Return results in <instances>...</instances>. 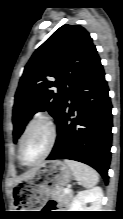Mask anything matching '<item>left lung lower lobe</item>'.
I'll return each instance as SVG.
<instances>
[{
    "instance_id": "1",
    "label": "left lung lower lobe",
    "mask_w": 123,
    "mask_h": 219,
    "mask_svg": "<svg viewBox=\"0 0 123 219\" xmlns=\"http://www.w3.org/2000/svg\"><path fill=\"white\" fill-rule=\"evenodd\" d=\"M108 92L105 73L96 56L71 87L57 120V139L47 160L85 163L108 182L112 142V105Z\"/></svg>"
}]
</instances>
